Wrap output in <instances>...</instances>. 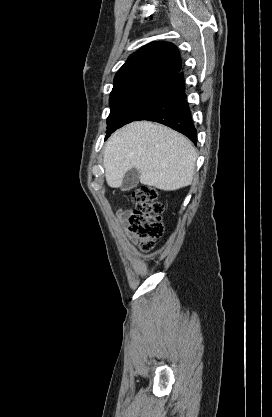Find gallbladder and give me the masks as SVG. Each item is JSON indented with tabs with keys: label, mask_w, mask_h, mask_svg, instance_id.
<instances>
[{
	"label": "gallbladder",
	"mask_w": 272,
	"mask_h": 417,
	"mask_svg": "<svg viewBox=\"0 0 272 417\" xmlns=\"http://www.w3.org/2000/svg\"><path fill=\"white\" fill-rule=\"evenodd\" d=\"M139 171L135 168L130 169L123 178L122 191H128L135 188L139 182Z\"/></svg>",
	"instance_id": "gallbladder-1"
}]
</instances>
